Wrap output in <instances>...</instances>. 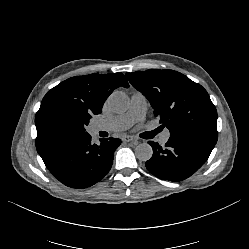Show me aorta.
Masks as SVG:
<instances>
[{"mask_svg": "<svg viewBox=\"0 0 249 249\" xmlns=\"http://www.w3.org/2000/svg\"><path fill=\"white\" fill-rule=\"evenodd\" d=\"M108 107L115 113H122L128 109V96L121 91L113 92L108 100ZM153 154L152 147L148 143H141L135 148V155L140 161H148Z\"/></svg>", "mask_w": 249, "mask_h": 249, "instance_id": "aorta-1", "label": "aorta"}]
</instances>
